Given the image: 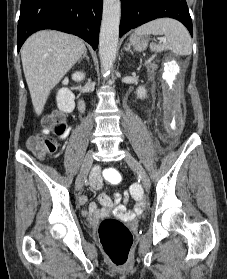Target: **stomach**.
<instances>
[{"instance_id": "1", "label": "stomach", "mask_w": 227, "mask_h": 279, "mask_svg": "<svg viewBox=\"0 0 227 279\" xmlns=\"http://www.w3.org/2000/svg\"><path fill=\"white\" fill-rule=\"evenodd\" d=\"M130 45H132L136 51H143L147 47V40L141 36L131 35Z\"/></svg>"}]
</instances>
